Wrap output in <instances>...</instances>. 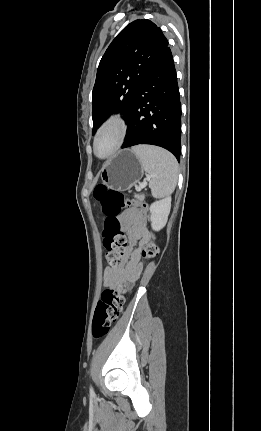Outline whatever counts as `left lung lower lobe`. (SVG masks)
<instances>
[{"label":"left lung lower lobe","mask_w":261,"mask_h":431,"mask_svg":"<svg viewBox=\"0 0 261 431\" xmlns=\"http://www.w3.org/2000/svg\"><path fill=\"white\" fill-rule=\"evenodd\" d=\"M122 148L151 144L181 154V103L172 53L167 47L149 69L127 119Z\"/></svg>","instance_id":"1"}]
</instances>
